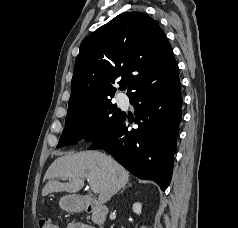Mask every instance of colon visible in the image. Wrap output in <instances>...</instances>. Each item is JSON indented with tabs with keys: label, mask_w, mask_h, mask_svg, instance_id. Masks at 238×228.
I'll list each match as a JSON object with an SVG mask.
<instances>
[{
	"label": "colon",
	"mask_w": 238,
	"mask_h": 228,
	"mask_svg": "<svg viewBox=\"0 0 238 228\" xmlns=\"http://www.w3.org/2000/svg\"><path fill=\"white\" fill-rule=\"evenodd\" d=\"M39 228H58L52 220L48 218H41L38 224Z\"/></svg>",
	"instance_id": "colon-1"
}]
</instances>
